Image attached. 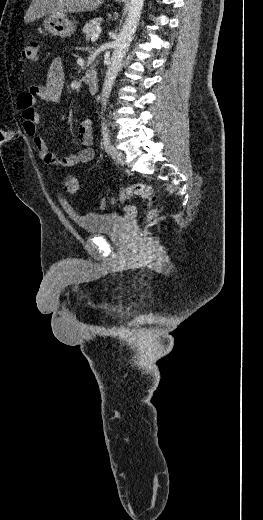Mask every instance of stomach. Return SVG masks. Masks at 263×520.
I'll return each instance as SVG.
<instances>
[{"label":"stomach","mask_w":263,"mask_h":520,"mask_svg":"<svg viewBox=\"0 0 263 520\" xmlns=\"http://www.w3.org/2000/svg\"><path fill=\"white\" fill-rule=\"evenodd\" d=\"M44 31L51 35L69 37L75 31V24L68 19L65 13H51L43 19Z\"/></svg>","instance_id":"stomach-1"}]
</instances>
